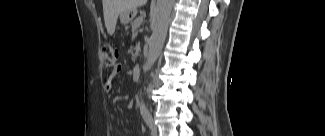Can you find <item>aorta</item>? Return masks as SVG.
<instances>
[{"label": "aorta", "instance_id": "obj_1", "mask_svg": "<svg viewBox=\"0 0 325 136\" xmlns=\"http://www.w3.org/2000/svg\"><path fill=\"white\" fill-rule=\"evenodd\" d=\"M174 0H157L151 16L152 35L149 41L147 69L151 68L158 59L167 35L168 23ZM140 111L147 112L145 105L140 103Z\"/></svg>", "mask_w": 325, "mask_h": 136}]
</instances>
